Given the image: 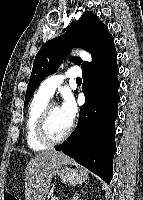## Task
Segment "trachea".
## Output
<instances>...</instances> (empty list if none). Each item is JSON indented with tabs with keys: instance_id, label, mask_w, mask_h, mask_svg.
<instances>
[{
	"instance_id": "3493384b",
	"label": "trachea",
	"mask_w": 143,
	"mask_h": 200,
	"mask_svg": "<svg viewBox=\"0 0 143 200\" xmlns=\"http://www.w3.org/2000/svg\"><path fill=\"white\" fill-rule=\"evenodd\" d=\"M76 82H77V83H81V82H82V79H81V78H77V79H76Z\"/></svg>"
}]
</instances>
